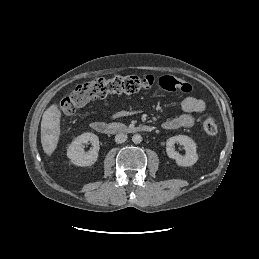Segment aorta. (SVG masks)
I'll list each match as a JSON object with an SVG mask.
<instances>
[{
	"label": "aorta",
	"instance_id": "obj_1",
	"mask_svg": "<svg viewBox=\"0 0 259 259\" xmlns=\"http://www.w3.org/2000/svg\"><path fill=\"white\" fill-rule=\"evenodd\" d=\"M132 141L135 144H139V143L142 142V136L140 134H134L133 137H132Z\"/></svg>",
	"mask_w": 259,
	"mask_h": 259
}]
</instances>
